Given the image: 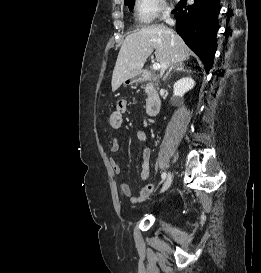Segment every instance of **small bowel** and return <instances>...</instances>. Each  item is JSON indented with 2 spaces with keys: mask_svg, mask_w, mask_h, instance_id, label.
<instances>
[{
  "mask_svg": "<svg viewBox=\"0 0 261 273\" xmlns=\"http://www.w3.org/2000/svg\"><path fill=\"white\" fill-rule=\"evenodd\" d=\"M127 110V103L125 101H118L116 104V111L121 114L125 113ZM137 140L140 145L146 146L148 143V134L145 131H137ZM110 150L112 153H117L120 150V144L117 138H114ZM110 164L112 167V170L115 174H119L121 172V166L118 163L117 160L112 158L110 160ZM149 170H150V150L148 148L143 149L142 153V160H141V173L140 177L141 179L145 180L149 176ZM120 191L129 198L130 202L133 204L141 203L145 201L149 195L153 192L154 186L151 184L144 185L140 192L137 195L132 194L131 187L127 183H120L119 185Z\"/></svg>",
  "mask_w": 261,
  "mask_h": 273,
  "instance_id": "c3829d8e",
  "label": "small bowel"
}]
</instances>
